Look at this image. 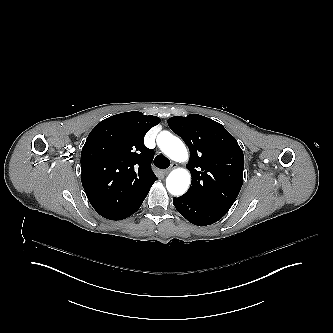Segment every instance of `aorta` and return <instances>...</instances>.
<instances>
[{
  "label": "aorta",
  "mask_w": 333,
  "mask_h": 333,
  "mask_svg": "<svg viewBox=\"0 0 333 333\" xmlns=\"http://www.w3.org/2000/svg\"><path fill=\"white\" fill-rule=\"evenodd\" d=\"M161 151L171 160L176 162L186 161L188 153L183 142L175 136H170L161 146ZM190 185V175L185 169H177L170 173L166 179V187L170 194L180 196L184 194Z\"/></svg>",
  "instance_id": "762f6f07"
}]
</instances>
